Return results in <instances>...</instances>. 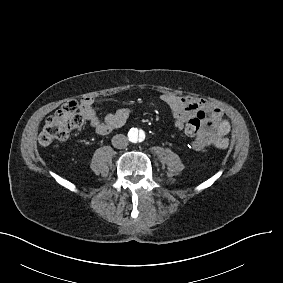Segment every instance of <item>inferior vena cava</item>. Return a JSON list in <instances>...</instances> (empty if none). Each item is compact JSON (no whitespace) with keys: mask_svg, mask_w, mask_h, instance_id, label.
<instances>
[{"mask_svg":"<svg viewBox=\"0 0 283 283\" xmlns=\"http://www.w3.org/2000/svg\"><path fill=\"white\" fill-rule=\"evenodd\" d=\"M112 145L117 149H124L128 146V138L123 134H117L112 138Z\"/></svg>","mask_w":283,"mask_h":283,"instance_id":"inferior-vena-cava-1","label":"inferior vena cava"}]
</instances>
